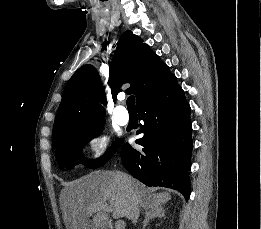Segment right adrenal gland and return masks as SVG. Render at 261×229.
Listing matches in <instances>:
<instances>
[{"instance_id": "1", "label": "right adrenal gland", "mask_w": 261, "mask_h": 229, "mask_svg": "<svg viewBox=\"0 0 261 229\" xmlns=\"http://www.w3.org/2000/svg\"><path fill=\"white\" fill-rule=\"evenodd\" d=\"M165 213V209H163V207H160V205H151V207H149V209H146L145 211L142 229H146L151 219H155V217H159V219H162V217H165Z\"/></svg>"}]
</instances>
